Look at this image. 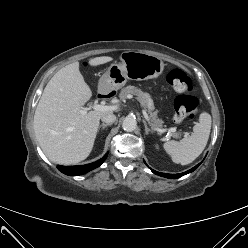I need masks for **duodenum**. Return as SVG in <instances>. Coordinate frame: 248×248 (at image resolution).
I'll list each match as a JSON object with an SVG mask.
<instances>
[{"label": "duodenum", "instance_id": "410a0bca", "mask_svg": "<svg viewBox=\"0 0 248 248\" xmlns=\"http://www.w3.org/2000/svg\"><path fill=\"white\" fill-rule=\"evenodd\" d=\"M103 98V96L102 95H98V99H102Z\"/></svg>", "mask_w": 248, "mask_h": 248}]
</instances>
